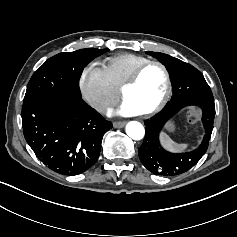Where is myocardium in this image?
Returning <instances> with one entry per match:
<instances>
[{
    "instance_id": "myocardium-1",
    "label": "myocardium",
    "mask_w": 237,
    "mask_h": 237,
    "mask_svg": "<svg viewBox=\"0 0 237 237\" xmlns=\"http://www.w3.org/2000/svg\"><path fill=\"white\" fill-rule=\"evenodd\" d=\"M158 66L162 69L164 75H165V92L161 99V101L151 110L141 113L143 117H152L156 114H158L160 111L164 109V107L167 105V103L170 100L171 97V90H172V82H171V75L170 72L165 64H163L160 61H148L145 64L141 65L133 74L132 76L125 82V84L122 86L121 89V96L123 99H125L126 92L132 88L134 85L137 84L139 81L141 75L143 72L149 68L150 66Z\"/></svg>"
}]
</instances>
